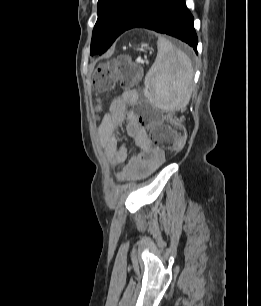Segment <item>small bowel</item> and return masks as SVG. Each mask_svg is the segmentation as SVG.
I'll use <instances>...</instances> for the list:
<instances>
[{"label": "small bowel", "instance_id": "c3829d8e", "mask_svg": "<svg viewBox=\"0 0 261 306\" xmlns=\"http://www.w3.org/2000/svg\"><path fill=\"white\" fill-rule=\"evenodd\" d=\"M137 101L134 90L125 91L121 97L115 99L108 109L99 132L98 140L111 164H123L118 176L121 179L132 181L142 176L148 170L161 165L165 160L163 150L152 146L146 129L140 125L136 115L128 107ZM125 124L127 135L134 141L138 153L128 158L126 144L118 145L116 134Z\"/></svg>", "mask_w": 261, "mask_h": 306}]
</instances>
